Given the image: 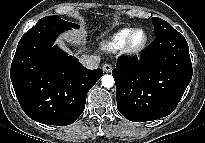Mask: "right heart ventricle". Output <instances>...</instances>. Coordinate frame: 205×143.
<instances>
[{
	"mask_svg": "<svg viewBox=\"0 0 205 143\" xmlns=\"http://www.w3.org/2000/svg\"><path fill=\"white\" fill-rule=\"evenodd\" d=\"M132 28H123L103 42L104 49L115 52L124 48L127 38L132 32Z\"/></svg>",
	"mask_w": 205,
	"mask_h": 143,
	"instance_id": "obj_1",
	"label": "right heart ventricle"
}]
</instances>
